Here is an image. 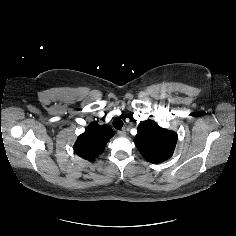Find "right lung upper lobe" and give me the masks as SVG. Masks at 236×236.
I'll return each instance as SVG.
<instances>
[{
    "mask_svg": "<svg viewBox=\"0 0 236 236\" xmlns=\"http://www.w3.org/2000/svg\"><path fill=\"white\" fill-rule=\"evenodd\" d=\"M113 130L107 126H100L93 122L91 123L85 132L78 136L75 142V152L88 161H93L98 157L108 142L113 137Z\"/></svg>",
    "mask_w": 236,
    "mask_h": 236,
    "instance_id": "1",
    "label": "right lung upper lobe"
}]
</instances>
